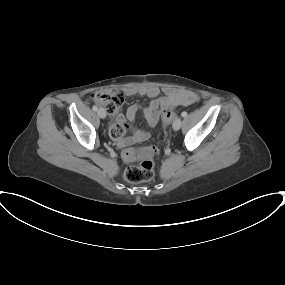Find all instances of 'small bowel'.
<instances>
[{
	"label": "small bowel",
	"instance_id": "1",
	"mask_svg": "<svg viewBox=\"0 0 285 285\" xmlns=\"http://www.w3.org/2000/svg\"><path fill=\"white\" fill-rule=\"evenodd\" d=\"M125 95H142L151 98L150 103L143 109L144 117L147 123L154 127L160 120L161 114L169 109L179 105H190L198 101V95L191 91L168 88L164 95H160V89L156 86H146L141 88H127ZM140 107L137 104L129 105L126 109L125 117L118 114L115 123L110 127V131L115 128H126V121L133 122L136 119ZM150 133L144 130L135 129L132 136L119 139L121 146H129L136 142H143L149 139Z\"/></svg>",
	"mask_w": 285,
	"mask_h": 285
}]
</instances>
